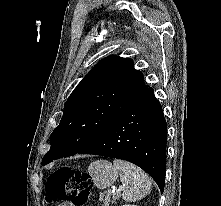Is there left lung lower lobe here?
I'll return each instance as SVG.
<instances>
[{
    "mask_svg": "<svg viewBox=\"0 0 221 206\" xmlns=\"http://www.w3.org/2000/svg\"><path fill=\"white\" fill-rule=\"evenodd\" d=\"M167 125L148 88L88 146L78 153L123 159L147 172L164 190Z\"/></svg>",
    "mask_w": 221,
    "mask_h": 206,
    "instance_id": "obj_1",
    "label": "left lung lower lobe"
}]
</instances>
